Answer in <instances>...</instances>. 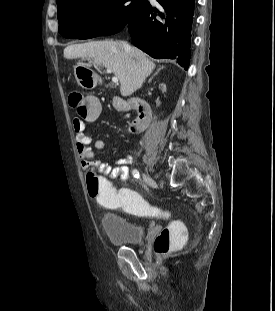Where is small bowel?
<instances>
[{
  "instance_id": "obj_1",
  "label": "small bowel",
  "mask_w": 275,
  "mask_h": 311,
  "mask_svg": "<svg viewBox=\"0 0 275 311\" xmlns=\"http://www.w3.org/2000/svg\"><path fill=\"white\" fill-rule=\"evenodd\" d=\"M73 127L76 132V149L81 163V167L86 174L93 171L99 175H105L111 179L119 178L122 181L127 180L129 177V169L127 165L132 162L131 156H125L116 161L115 166L108 164L100 159H95L94 149L104 150L106 143L103 139H97L94 141L93 147L92 137L85 130L84 121L75 119L73 122ZM109 206V205H108ZM112 207V206H111Z\"/></svg>"
}]
</instances>
